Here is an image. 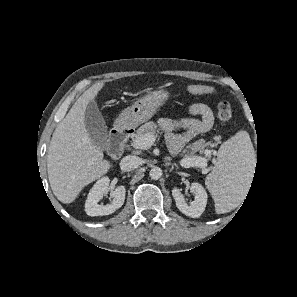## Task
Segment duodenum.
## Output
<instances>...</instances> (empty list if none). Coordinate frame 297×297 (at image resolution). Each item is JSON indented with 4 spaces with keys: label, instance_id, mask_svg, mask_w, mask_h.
I'll return each mask as SVG.
<instances>
[{
    "label": "duodenum",
    "instance_id": "1",
    "mask_svg": "<svg viewBox=\"0 0 297 297\" xmlns=\"http://www.w3.org/2000/svg\"><path fill=\"white\" fill-rule=\"evenodd\" d=\"M131 133L130 126L125 122H120L110 133L109 151L112 157L118 158L124 149V145Z\"/></svg>",
    "mask_w": 297,
    "mask_h": 297
}]
</instances>
